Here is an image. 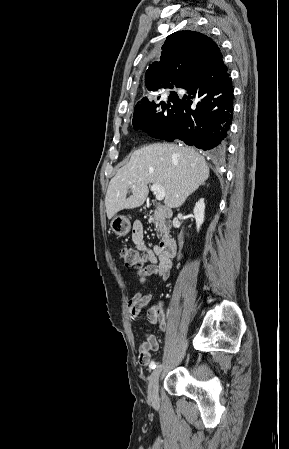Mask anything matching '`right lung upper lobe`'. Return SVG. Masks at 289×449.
<instances>
[{"mask_svg": "<svg viewBox=\"0 0 289 449\" xmlns=\"http://www.w3.org/2000/svg\"><path fill=\"white\" fill-rule=\"evenodd\" d=\"M222 66L223 56L211 38L196 31H178L167 37L160 61L149 65L145 84L154 92L181 87L210 78ZM147 98L150 96L142 100Z\"/></svg>", "mask_w": 289, "mask_h": 449, "instance_id": "obj_1", "label": "right lung upper lobe"}]
</instances>
